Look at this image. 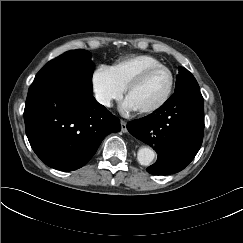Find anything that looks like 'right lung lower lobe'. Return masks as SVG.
<instances>
[{
	"mask_svg": "<svg viewBox=\"0 0 243 243\" xmlns=\"http://www.w3.org/2000/svg\"><path fill=\"white\" fill-rule=\"evenodd\" d=\"M26 135L49 167L72 171L84 166L120 122L93 97L92 88L34 80L25 110Z\"/></svg>",
	"mask_w": 243,
	"mask_h": 243,
	"instance_id": "obj_1",
	"label": "right lung lower lobe"
}]
</instances>
